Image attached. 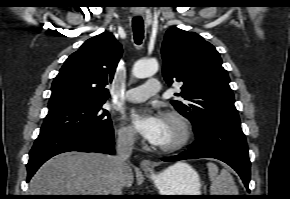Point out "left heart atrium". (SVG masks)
I'll return each mask as SVG.
<instances>
[{
  "label": "left heart atrium",
  "mask_w": 290,
  "mask_h": 199,
  "mask_svg": "<svg viewBox=\"0 0 290 199\" xmlns=\"http://www.w3.org/2000/svg\"><path fill=\"white\" fill-rule=\"evenodd\" d=\"M130 120L135 130L148 142L157 145L160 141L164 116L153 109L134 110Z\"/></svg>",
  "instance_id": "left-heart-atrium-1"
}]
</instances>
